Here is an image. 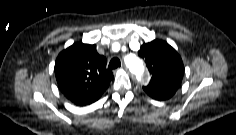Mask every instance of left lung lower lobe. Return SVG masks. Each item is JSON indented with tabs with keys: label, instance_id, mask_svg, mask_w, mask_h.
<instances>
[{
	"label": "left lung lower lobe",
	"instance_id": "left-lung-lower-lobe-1",
	"mask_svg": "<svg viewBox=\"0 0 236 135\" xmlns=\"http://www.w3.org/2000/svg\"><path fill=\"white\" fill-rule=\"evenodd\" d=\"M171 96H172L171 94H164V95H159L152 98L156 100H166V99H169Z\"/></svg>",
	"mask_w": 236,
	"mask_h": 135
}]
</instances>
